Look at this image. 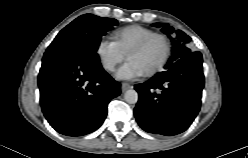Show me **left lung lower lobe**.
Instances as JSON below:
<instances>
[{"label": "left lung lower lobe", "instance_id": "0a47b994", "mask_svg": "<svg viewBox=\"0 0 248 158\" xmlns=\"http://www.w3.org/2000/svg\"><path fill=\"white\" fill-rule=\"evenodd\" d=\"M204 87L202 55L184 56L143 84L134 115L140 127L154 134L176 135L185 131L200 110Z\"/></svg>", "mask_w": 248, "mask_h": 158}]
</instances>
